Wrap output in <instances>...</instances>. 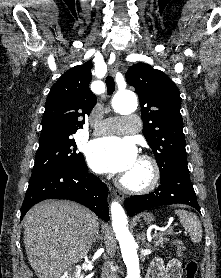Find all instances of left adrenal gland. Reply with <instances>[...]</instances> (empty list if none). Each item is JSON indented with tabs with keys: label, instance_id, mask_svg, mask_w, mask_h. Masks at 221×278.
Returning a JSON list of instances; mask_svg holds the SVG:
<instances>
[{
	"label": "left adrenal gland",
	"instance_id": "obj_1",
	"mask_svg": "<svg viewBox=\"0 0 221 278\" xmlns=\"http://www.w3.org/2000/svg\"><path fill=\"white\" fill-rule=\"evenodd\" d=\"M141 239H142V242L145 243V240H146L145 231L142 232Z\"/></svg>",
	"mask_w": 221,
	"mask_h": 278
}]
</instances>
